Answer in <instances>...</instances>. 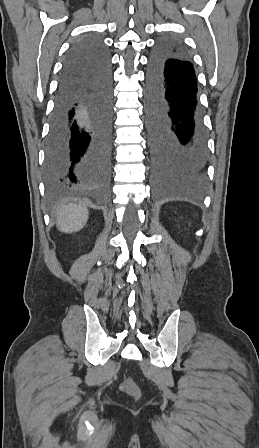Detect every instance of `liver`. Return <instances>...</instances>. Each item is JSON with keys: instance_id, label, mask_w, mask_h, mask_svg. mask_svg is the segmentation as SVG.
<instances>
[{"instance_id": "6515ba94", "label": "liver", "mask_w": 259, "mask_h": 448, "mask_svg": "<svg viewBox=\"0 0 259 448\" xmlns=\"http://www.w3.org/2000/svg\"><path fill=\"white\" fill-rule=\"evenodd\" d=\"M87 220V208H81L77 204H69V206H64L63 212H59L57 228L60 232L72 234V232H79L85 226Z\"/></svg>"}]
</instances>
